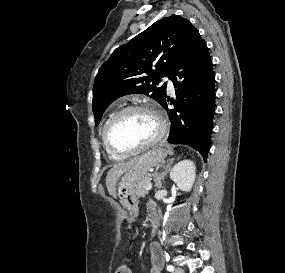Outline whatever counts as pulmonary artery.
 <instances>
[{
  "mask_svg": "<svg viewBox=\"0 0 285 273\" xmlns=\"http://www.w3.org/2000/svg\"><path fill=\"white\" fill-rule=\"evenodd\" d=\"M164 81H167L168 90H169L171 93H173V92H174V86H173L172 81H171L168 77H165V78H164Z\"/></svg>",
  "mask_w": 285,
  "mask_h": 273,
  "instance_id": "e3ab8cb5",
  "label": "pulmonary artery"
}]
</instances>
